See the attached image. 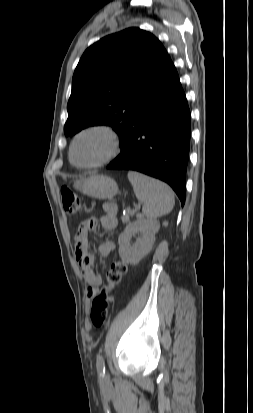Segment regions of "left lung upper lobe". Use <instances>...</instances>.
<instances>
[{"label": "left lung upper lobe", "instance_id": "left-lung-upper-lobe-1", "mask_svg": "<svg viewBox=\"0 0 253 413\" xmlns=\"http://www.w3.org/2000/svg\"><path fill=\"white\" fill-rule=\"evenodd\" d=\"M171 59L151 33L128 28L106 36L82 55L73 75L66 136L93 125L125 132Z\"/></svg>", "mask_w": 253, "mask_h": 413}]
</instances>
